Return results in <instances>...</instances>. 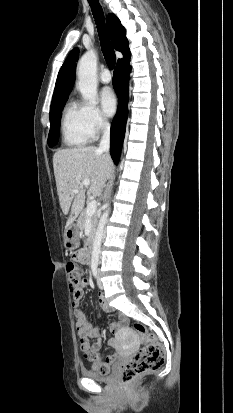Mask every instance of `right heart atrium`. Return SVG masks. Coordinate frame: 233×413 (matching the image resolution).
<instances>
[{"label": "right heart atrium", "mask_w": 233, "mask_h": 413, "mask_svg": "<svg viewBox=\"0 0 233 413\" xmlns=\"http://www.w3.org/2000/svg\"><path fill=\"white\" fill-rule=\"evenodd\" d=\"M88 127L93 136L105 130L108 122L102 112L95 106H85Z\"/></svg>", "instance_id": "right-heart-atrium-1"}]
</instances>
